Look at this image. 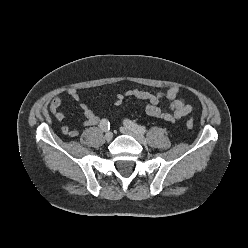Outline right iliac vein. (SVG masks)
<instances>
[{
	"mask_svg": "<svg viewBox=\"0 0 248 248\" xmlns=\"http://www.w3.org/2000/svg\"><path fill=\"white\" fill-rule=\"evenodd\" d=\"M112 138H113V133L112 132L109 131V132H107L105 134V139L106 140L110 141Z\"/></svg>",
	"mask_w": 248,
	"mask_h": 248,
	"instance_id": "63e3f726",
	"label": "right iliac vein"
}]
</instances>
